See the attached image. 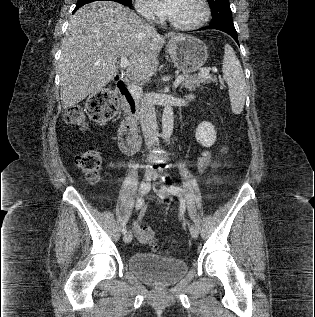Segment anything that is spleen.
<instances>
[{"label":"spleen","mask_w":315,"mask_h":317,"mask_svg":"<svg viewBox=\"0 0 315 317\" xmlns=\"http://www.w3.org/2000/svg\"><path fill=\"white\" fill-rule=\"evenodd\" d=\"M222 72L229 87L232 112L234 114H240L245 104L247 85L241 64L229 44L224 46Z\"/></svg>","instance_id":"obj_1"}]
</instances>
